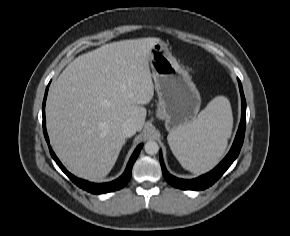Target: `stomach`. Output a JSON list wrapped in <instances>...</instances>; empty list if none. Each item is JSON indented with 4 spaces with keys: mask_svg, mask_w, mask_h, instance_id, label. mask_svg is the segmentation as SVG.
<instances>
[{
    "mask_svg": "<svg viewBox=\"0 0 290 236\" xmlns=\"http://www.w3.org/2000/svg\"><path fill=\"white\" fill-rule=\"evenodd\" d=\"M149 63L159 100L156 116L165 121L169 133H174L197 118L201 105L200 93L166 43L159 41L154 44Z\"/></svg>",
    "mask_w": 290,
    "mask_h": 236,
    "instance_id": "1",
    "label": "stomach"
}]
</instances>
